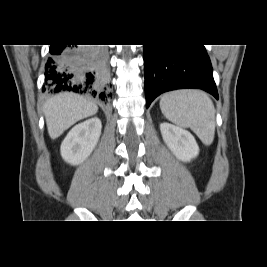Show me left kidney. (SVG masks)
Returning a JSON list of instances; mask_svg holds the SVG:
<instances>
[{
  "label": "left kidney",
  "instance_id": "1",
  "mask_svg": "<svg viewBox=\"0 0 267 267\" xmlns=\"http://www.w3.org/2000/svg\"><path fill=\"white\" fill-rule=\"evenodd\" d=\"M160 130L164 142L178 159L189 162L197 157L199 147L190 132L169 123L160 124Z\"/></svg>",
  "mask_w": 267,
  "mask_h": 267
}]
</instances>
